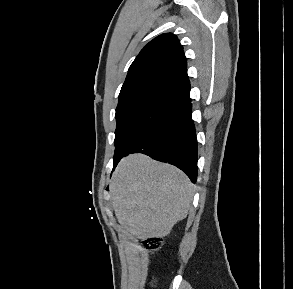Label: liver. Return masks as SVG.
<instances>
[{"label":"liver","mask_w":293,"mask_h":289,"mask_svg":"<svg viewBox=\"0 0 293 289\" xmlns=\"http://www.w3.org/2000/svg\"><path fill=\"white\" fill-rule=\"evenodd\" d=\"M110 192L120 225L147 239L167 236L187 216L194 187L176 167L132 154L115 169Z\"/></svg>","instance_id":"liver-1"}]
</instances>
